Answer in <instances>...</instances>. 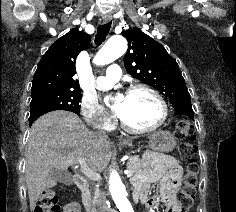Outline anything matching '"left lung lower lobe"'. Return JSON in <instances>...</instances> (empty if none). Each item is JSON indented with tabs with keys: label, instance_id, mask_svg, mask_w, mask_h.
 I'll list each match as a JSON object with an SVG mask.
<instances>
[{
	"label": "left lung lower lobe",
	"instance_id": "0a47b994",
	"mask_svg": "<svg viewBox=\"0 0 236 212\" xmlns=\"http://www.w3.org/2000/svg\"><path fill=\"white\" fill-rule=\"evenodd\" d=\"M175 108V115H185L193 119V109L191 101H181L173 106Z\"/></svg>",
	"mask_w": 236,
	"mask_h": 212
}]
</instances>
